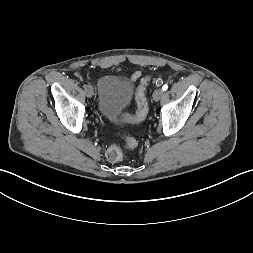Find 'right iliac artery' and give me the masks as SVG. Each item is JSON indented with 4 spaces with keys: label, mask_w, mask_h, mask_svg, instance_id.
Listing matches in <instances>:
<instances>
[{
    "label": "right iliac artery",
    "mask_w": 253,
    "mask_h": 253,
    "mask_svg": "<svg viewBox=\"0 0 253 253\" xmlns=\"http://www.w3.org/2000/svg\"><path fill=\"white\" fill-rule=\"evenodd\" d=\"M86 86H87V85H86V84H84V85H83V88H86Z\"/></svg>",
    "instance_id": "right-iliac-artery-1"
}]
</instances>
